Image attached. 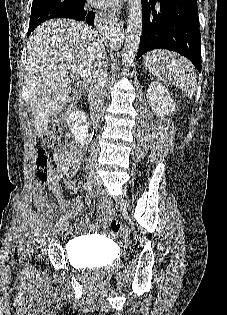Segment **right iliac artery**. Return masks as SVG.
<instances>
[{
  "mask_svg": "<svg viewBox=\"0 0 227 315\" xmlns=\"http://www.w3.org/2000/svg\"><path fill=\"white\" fill-rule=\"evenodd\" d=\"M93 187V184L92 182L90 181H87L85 184H84V189L89 191L91 190ZM67 220V216L66 215H63L61 218H60V222H65Z\"/></svg>",
  "mask_w": 227,
  "mask_h": 315,
  "instance_id": "1",
  "label": "right iliac artery"
}]
</instances>
